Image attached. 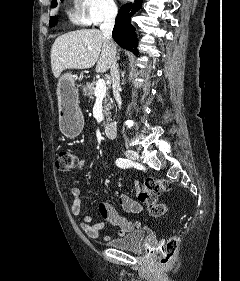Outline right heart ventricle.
Listing matches in <instances>:
<instances>
[{
	"instance_id": "e07e8e85",
	"label": "right heart ventricle",
	"mask_w": 240,
	"mask_h": 281,
	"mask_svg": "<svg viewBox=\"0 0 240 281\" xmlns=\"http://www.w3.org/2000/svg\"><path fill=\"white\" fill-rule=\"evenodd\" d=\"M67 16L74 25L86 26L90 24L85 11V0H71Z\"/></svg>"
}]
</instances>
